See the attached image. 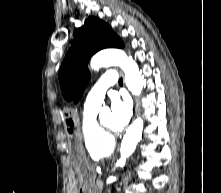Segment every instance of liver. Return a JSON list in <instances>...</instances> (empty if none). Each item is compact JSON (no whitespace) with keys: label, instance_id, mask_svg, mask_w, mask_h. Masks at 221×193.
<instances>
[{"label":"liver","instance_id":"1","mask_svg":"<svg viewBox=\"0 0 221 193\" xmlns=\"http://www.w3.org/2000/svg\"><path fill=\"white\" fill-rule=\"evenodd\" d=\"M76 181H73V183H71V191L70 193H76Z\"/></svg>","mask_w":221,"mask_h":193}]
</instances>
